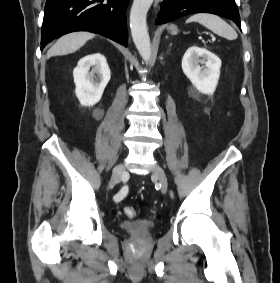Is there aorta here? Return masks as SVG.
<instances>
[{
    "instance_id": "aorta-1",
    "label": "aorta",
    "mask_w": 280,
    "mask_h": 283,
    "mask_svg": "<svg viewBox=\"0 0 280 283\" xmlns=\"http://www.w3.org/2000/svg\"><path fill=\"white\" fill-rule=\"evenodd\" d=\"M153 0H134L130 11V29L133 42L144 61L151 57V43L146 17Z\"/></svg>"
}]
</instances>
